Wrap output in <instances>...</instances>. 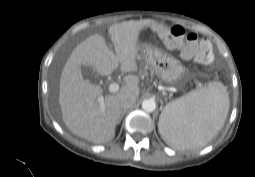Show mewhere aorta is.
<instances>
[{
  "mask_svg": "<svg viewBox=\"0 0 255 177\" xmlns=\"http://www.w3.org/2000/svg\"><path fill=\"white\" fill-rule=\"evenodd\" d=\"M142 108L146 112H153L156 109V103L153 99H146L142 102Z\"/></svg>",
  "mask_w": 255,
  "mask_h": 177,
  "instance_id": "aorta-1",
  "label": "aorta"
}]
</instances>
